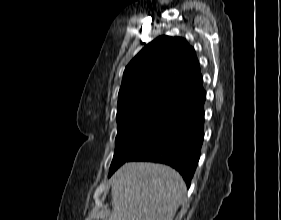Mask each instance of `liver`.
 I'll return each mask as SVG.
<instances>
[{
    "label": "liver",
    "instance_id": "6515ba94",
    "mask_svg": "<svg viewBox=\"0 0 281 220\" xmlns=\"http://www.w3.org/2000/svg\"><path fill=\"white\" fill-rule=\"evenodd\" d=\"M186 193L173 168L128 162L111 178L112 215L108 220H173Z\"/></svg>",
    "mask_w": 281,
    "mask_h": 220
}]
</instances>
